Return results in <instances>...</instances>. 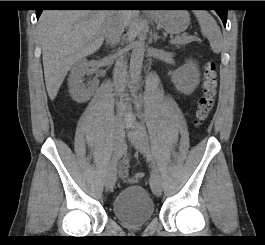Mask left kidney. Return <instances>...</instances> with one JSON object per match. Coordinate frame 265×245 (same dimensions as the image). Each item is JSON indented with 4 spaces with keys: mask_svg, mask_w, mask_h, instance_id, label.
Returning <instances> with one entry per match:
<instances>
[{
    "mask_svg": "<svg viewBox=\"0 0 265 245\" xmlns=\"http://www.w3.org/2000/svg\"><path fill=\"white\" fill-rule=\"evenodd\" d=\"M199 70L195 62L189 60L172 74V82L178 91L191 94L199 84Z\"/></svg>",
    "mask_w": 265,
    "mask_h": 245,
    "instance_id": "5707ae66",
    "label": "left kidney"
}]
</instances>
